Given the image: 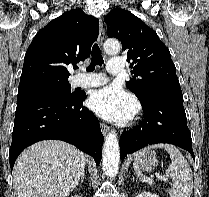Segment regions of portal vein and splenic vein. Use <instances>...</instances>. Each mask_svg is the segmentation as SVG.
<instances>
[{"mask_svg": "<svg viewBox=\"0 0 209 197\" xmlns=\"http://www.w3.org/2000/svg\"><path fill=\"white\" fill-rule=\"evenodd\" d=\"M156 178H158V179H160V180L167 181V178H165L164 176L159 175V174H156Z\"/></svg>", "mask_w": 209, "mask_h": 197, "instance_id": "18ae733b", "label": "portal vein and splenic vein"}]
</instances>
